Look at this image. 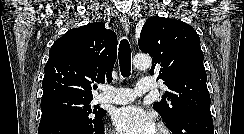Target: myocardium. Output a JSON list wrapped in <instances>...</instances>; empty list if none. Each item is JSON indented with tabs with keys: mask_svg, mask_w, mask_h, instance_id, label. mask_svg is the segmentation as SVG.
Here are the masks:
<instances>
[{
	"mask_svg": "<svg viewBox=\"0 0 244 134\" xmlns=\"http://www.w3.org/2000/svg\"><path fill=\"white\" fill-rule=\"evenodd\" d=\"M157 131L159 134H172L165 125H158Z\"/></svg>",
	"mask_w": 244,
	"mask_h": 134,
	"instance_id": "f54148a6",
	"label": "myocardium"
}]
</instances>
